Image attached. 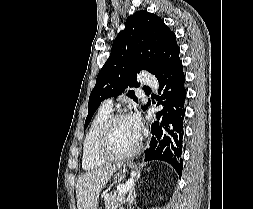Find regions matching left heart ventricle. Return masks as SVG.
<instances>
[{
    "instance_id": "obj_1",
    "label": "left heart ventricle",
    "mask_w": 253,
    "mask_h": 209,
    "mask_svg": "<svg viewBox=\"0 0 253 209\" xmlns=\"http://www.w3.org/2000/svg\"><path fill=\"white\" fill-rule=\"evenodd\" d=\"M138 133L134 130L128 118L116 121L110 129L107 150L112 154H124L136 144Z\"/></svg>"
}]
</instances>
